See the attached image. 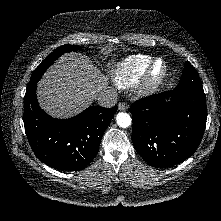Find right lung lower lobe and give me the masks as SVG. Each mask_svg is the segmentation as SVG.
I'll return each mask as SVG.
<instances>
[{
	"label": "right lung lower lobe",
	"instance_id": "1",
	"mask_svg": "<svg viewBox=\"0 0 221 221\" xmlns=\"http://www.w3.org/2000/svg\"><path fill=\"white\" fill-rule=\"evenodd\" d=\"M37 83L27 87L24 97V127L35 155L61 171L84 169L99 151L101 138L117 106L89 107L69 119H55L40 107Z\"/></svg>",
	"mask_w": 221,
	"mask_h": 221
}]
</instances>
